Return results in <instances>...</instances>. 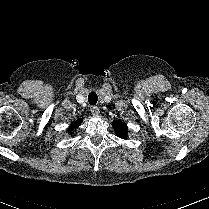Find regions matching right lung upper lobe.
<instances>
[{"mask_svg":"<svg viewBox=\"0 0 209 209\" xmlns=\"http://www.w3.org/2000/svg\"><path fill=\"white\" fill-rule=\"evenodd\" d=\"M82 122L81 119H79L77 122L73 123L72 126L69 128V131L73 130V128H76L78 125H80Z\"/></svg>","mask_w":209,"mask_h":209,"instance_id":"cb5924a9","label":"right lung upper lobe"}]
</instances>
